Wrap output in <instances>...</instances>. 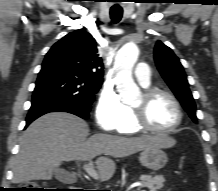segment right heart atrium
Masks as SVG:
<instances>
[{
    "label": "right heart atrium",
    "instance_id": "right-heart-atrium-1",
    "mask_svg": "<svg viewBox=\"0 0 218 191\" xmlns=\"http://www.w3.org/2000/svg\"><path fill=\"white\" fill-rule=\"evenodd\" d=\"M127 108L118 93L105 88L100 93L95 106V120L98 127L106 132L118 130L122 122L127 118Z\"/></svg>",
    "mask_w": 218,
    "mask_h": 191
}]
</instances>
